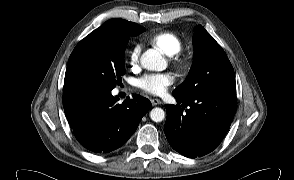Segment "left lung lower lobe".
<instances>
[{
    "instance_id": "obj_1",
    "label": "left lung lower lobe",
    "mask_w": 294,
    "mask_h": 180,
    "mask_svg": "<svg viewBox=\"0 0 294 180\" xmlns=\"http://www.w3.org/2000/svg\"><path fill=\"white\" fill-rule=\"evenodd\" d=\"M177 105H165L164 132L177 152L191 158L213 151L226 135L236 112L235 96L173 93ZM188 106L187 109H185Z\"/></svg>"
}]
</instances>
